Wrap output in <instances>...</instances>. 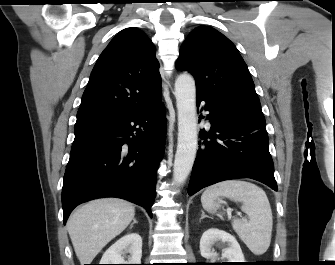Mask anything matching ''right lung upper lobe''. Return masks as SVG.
<instances>
[{
    "instance_id": "cb5924a9",
    "label": "right lung upper lobe",
    "mask_w": 335,
    "mask_h": 265,
    "mask_svg": "<svg viewBox=\"0 0 335 265\" xmlns=\"http://www.w3.org/2000/svg\"><path fill=\"white\" fill-rule=\"evenodd\" d=\"M155 49L131 27L103 50L90 75L75 127L103 122L155 105L162 97Z\"/></svg>"
}]
</instances>
